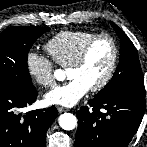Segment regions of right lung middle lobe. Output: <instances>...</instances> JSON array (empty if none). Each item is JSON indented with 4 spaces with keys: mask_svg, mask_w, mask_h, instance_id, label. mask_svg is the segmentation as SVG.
<instances>
[{
    "mask_svg": "<svg viewBox=\"0 0 147 147\" xmlns=\"http://www.w3.org/2000/svg\"><path fill=\"white\" fill-rule=\"evenodd\" d=\"M48 27L15 26L0 34V87L28 90L33 87L27 67L28 52Z\"/></svg>",
    "mask_w": 147,
    "mask_h": 147,
    "instance_id": "right-lung-middle-lobe-1",
    "label": "right lung middle lobe"
}]
</instances>
